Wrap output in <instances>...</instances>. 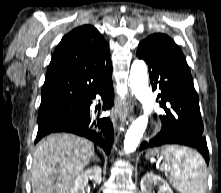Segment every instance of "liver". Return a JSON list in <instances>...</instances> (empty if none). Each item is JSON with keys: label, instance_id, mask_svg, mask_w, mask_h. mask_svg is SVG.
<instances>
[{"label": "liver", "instance_id": "obj_1", "mask_svg": "<svg viewBox=\"0 0 221 193\" xmlns=\"http://www.w3.org/2000/svg\"><path fill=\"white\" fill-rule=\"evenodd\" d=\"M94 156V145L72 134H52L36 145L31 169L32 193H69Z\"/></svg>", "mask_w": 221, "mask_h": 193}]
</instances>
